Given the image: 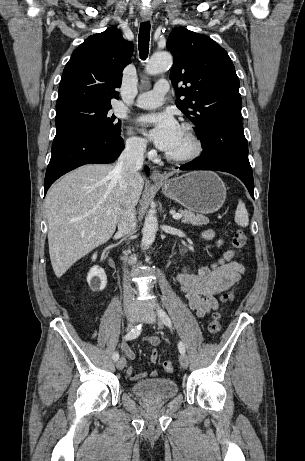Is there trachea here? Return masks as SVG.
Instances as JSON below:
<instances>
[{
    "instance_id": "trachea-1",
    "label": "trachea",
    "mask_w": 305,
    "mask_h": 461,
    "mask_svg": "<svg viewBox=\"0 0 305 461\" xmlns=\"http://www.w3.org/2000/svg\"><path fill=\"white\" fill-rule=\"evenodd\" d=\"M149 40H150V22H143L140 25L138 35V47L139 54L142 60H145L149 52Z\"/></svg>"
}]
</instances>
